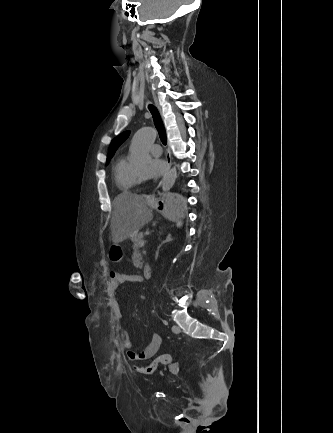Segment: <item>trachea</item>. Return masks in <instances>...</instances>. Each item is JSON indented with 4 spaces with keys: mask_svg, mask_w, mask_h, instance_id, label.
<instances>
[{
    "mask_svg": "<svg viewBox=\"0 0 333 433\" xmlns=\"http://www.w3.org/2000/svg\"><path fill=\"white\" fill-rule=\"evenodd\" d=\"M148 109L150 110V112L152 114V117H153V120H154V125H155V127H156V129H157V131L159 133L161 142L164 145H166V143H167L166 131H165V127H164L163 121L161 119V116L159 114V111L152 104H149Z\"/></svg>",
    "mask_w": 333,
    "mask_h": 433,
    "instance_id": "3493384b",
    "label": "trachea"
}]
</instances>
